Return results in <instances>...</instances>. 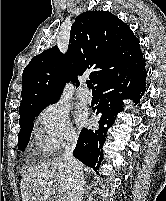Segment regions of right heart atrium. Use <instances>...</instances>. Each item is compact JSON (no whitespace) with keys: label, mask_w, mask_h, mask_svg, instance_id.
Segmentation results:
<instances>
[{"label":"right heart atrium","mask_w":166,"mask_h":201,"mask_svg":"<svg viewBox=\"0 0 166 201\" xmlns=\"http://www.w3.org/2000/svg\"><path fill=\"white\" fill-rule=\"evenodd\" d=\"M36 125L38 145L46 154H54L76 142L69 112L60 104L45 107L37 116Z\"/></svg>","instance_id":"d8ad5b80"}]
</instances>
